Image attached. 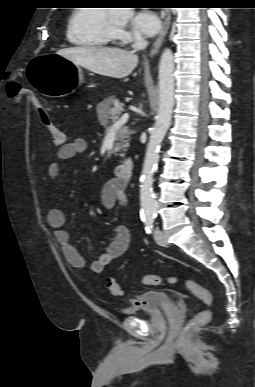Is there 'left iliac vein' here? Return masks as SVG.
<instances>
[{"label":"left iliac vein","instance_id":"obj_1","mask_svg":"<svg viewBox=\"0 0 255 387\" xmlns=\"http://www.w3.org/2000/svg\"><path fill=\"white\" fill-rule=\"evenodd\" d=\"M154 239L156 243L161 246H165L167 244L166 236L160 229L154 230Z\"/></svg>","mask_w":255,"mask_h":387}]
</instances>
